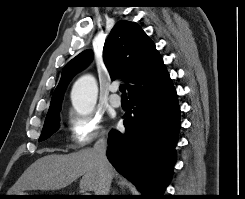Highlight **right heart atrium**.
<instances>
[{
  "label": "right heart atrium",
  "mask_w": 245,
  "mask_h": 199,
  "mask_svg": "<svg viewBox=\"0 0 245 199\" xmlns=\"http://www.w3.org/2000/svg\"><path fill=\"white\" fill-rule=\"evenodd\" d=\"M69 138L74 148L81 149L106 137L103 118L96 112L80 114L70 111L67 118Z\"/></svg>",
  "instance_id": "d8ad5b80"
}]
</instances>
